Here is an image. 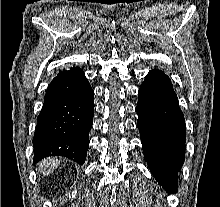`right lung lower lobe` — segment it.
I'll return each instance as SVG.
<instances>
[{"label":"right lung lower lobe","instance_id":"1","mask_svg":"<svg viewBox=\"0 0 220 207\" xmlns=\"http://www.w3.org/2000/svg\"><path fill=\"white\" fill-rule=\"evenodd\" d=\"M94 116V91L78 67L63 69L51 81L33 137L34 163L64 156L83 164Z\"/></svg>","mask_w":220,"mask_h":207}]
</instances>
